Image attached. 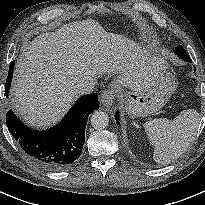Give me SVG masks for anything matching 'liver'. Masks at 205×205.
<instances>
[{"label": "liver", "mask_w": 205, "mask_h": 205, "mask_svg": "<svg viewBox=\"0 0 205 205\" xmlns=\"http://www.w3.org/2000/svg\"><path fill=\"white\" fill-rule=\"evenodd\" d=\"M134 45L91 19L37 36L16 62L13 108L28 125L46 128L71 108L76 99L73 87L83 79L119 69V84L133 90L150 87L165 69L164 62L144 57Z\"/></svg>", "instance_id": "1"}]
</instances>
